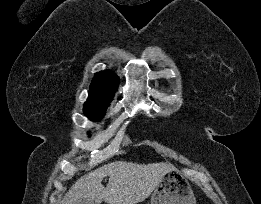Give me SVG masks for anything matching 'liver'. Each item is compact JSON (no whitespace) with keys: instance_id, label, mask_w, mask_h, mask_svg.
<instances>
[{"instance_id":"liver-1","label":"liver","mask_w":261,"mask_h":204,"mask_svg":"<svg viewBox=\"0 0 261 204\" xmlns=\"http://www.w3.org/2000/svg\"><path fill=\"white\" fill-rule=\"evenodd\" d=\"M174 170L167 163L137 164L126 161L108 163L79 178L65 194L61 204H76L81 198L96 204H136L144 201L161 182L164 175ZM109 176L104 188L102 180Z\"/></svg>"}]
</instances>
